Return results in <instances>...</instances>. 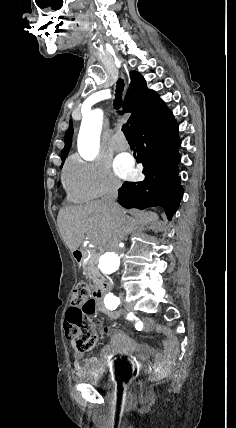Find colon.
<instances>
[{"label": "colon", "mask_w": 236, "mask_h": 428, "mask_svg": "<svg viewBox=\"0 0 236 428\" xmlns=\"http://www.w3.org/2000/svg\"><path fill=\"white\" fill-rule=\"evenodd\" d=\"M96 309L97 301L90 296L88 284L83 281L77 283L64 321L66 337L76 352H89L96 345L95 326L90 318Z\"/></svg>", "instance_id": "5ec220e1"}]
</instances>
